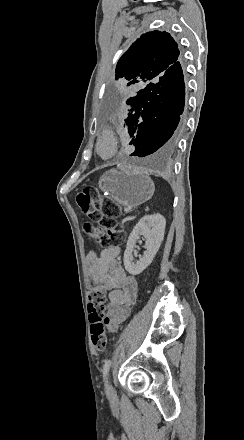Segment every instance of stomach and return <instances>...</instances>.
<instances>
[{
	"label": "stomach",
	"instance_id": "0dacf381",
	"mask_svg": "<svg viewBox=\"0 0 244 440\" xmlns=\"http://www.w3.org/2000/svg\"><path fill=\"white\" fill-rule=\"evenodd\" d=\"M98 186L105 192V196H109L124 208L141 206L151 200L155 192L154 182L149 178V174L139 170L119 172L112 168L99 178Z\"/></svg>",
	"mask_w": 244,
	"mask_h": 440
}]
</instances>
